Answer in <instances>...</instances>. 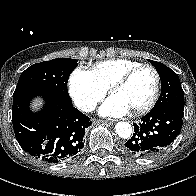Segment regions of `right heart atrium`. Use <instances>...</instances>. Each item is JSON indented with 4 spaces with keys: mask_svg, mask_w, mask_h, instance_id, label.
<instances>
[{
    "mask_svg": "<svg viewBox=\"0 0 196 196\" xmlns=\"http://www.w3.org/2000/svg\"><path fill=\"white\" fill-rule=\"evenodd\" d=\"M107 90L95 79L91 71L76 68L69 80V93L75 105L84 112H91L104 98Z\"/></svg>",
    "mask_w": 196,
    "mask_h": 196,
    "instance_id": "d8ad5b80",
    "label": "right heart atrium"
}]
</instances>
